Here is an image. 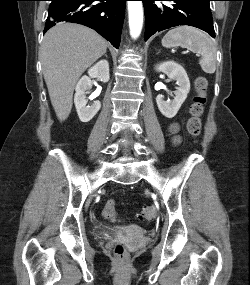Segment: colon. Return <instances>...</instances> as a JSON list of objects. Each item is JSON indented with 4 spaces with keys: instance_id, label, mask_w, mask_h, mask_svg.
Returning <instances> with one entry per match:
<instances>
[{
    "instance_id": "colon-1",
    "label": "colon",
    "mask_w": 250,
    "mask_h": 285,
    "mask_svg": "<svg viewBox=\"0 0 250 285\" xmlns=\"http://www.w3.org/2000/svg\"><path fill=\"white\" fill-rule=\"evenodd\" d=\"M207 80L204 77H198L195 80L196 95L190 108V118L187 123L188 132L197 137L201 133V115L206 102ZM102 216L111 221L116 220L115 201L108 200L102 208ZM141 221H152L156 217V209L152 205H146L137 214ZM114 256L117 261L123 262L126 260L127 252L125 247L118 243L114 247Z\"/></svg>"
}]
</instances>
